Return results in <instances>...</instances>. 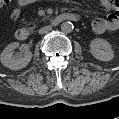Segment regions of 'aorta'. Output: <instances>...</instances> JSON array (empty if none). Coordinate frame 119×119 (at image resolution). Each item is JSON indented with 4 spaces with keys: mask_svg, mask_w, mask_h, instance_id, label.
<instances>
[{
    "mask_svg": "<svg viewBox=\"0 0 119 119\" xmlns=\"http://www.w3.org/2000/svg\"><path fill=\"white\" fill-rule=\"evenodd\" d=\"M74 26L71 22H63L61 24V30L64 32V33H70L72 32Z\"/></svg>",
    "mask_w": 119,
    "mask_h": 119,
    "instance_id": "aorta-1",
    "label": "aorta"
}]
</instances>
